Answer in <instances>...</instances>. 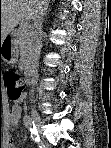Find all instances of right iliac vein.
Masks as SVG:
<instances>
[{
  "label": "right iliac vein",
  "instance_id": "right-iliac-vein-1",
  "mask_svg": "<svg viewBox=\"0 0 111 148\" xmlns=\"http://www.w3.org/2000/svg\"><path fill=\"white\" fill-rule=\"evenodd\" d=\"M31 115H32V118H33V122L35 123V126L37 128H39L40 125H41V118H40L39 114L36 112L35 109H32Z\"/></svg>",
  "mask_w": 111,
  "mask_h": 148
}]
</instances>
